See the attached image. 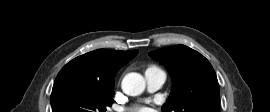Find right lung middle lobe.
I'll use <instances>...</instances> for the list:
<instances>
[{"label": "right lung middle lobe", "mask_w": 270, "mask_h": 112, "mask_svg": "<svg viewBox=\"0 0 270 112\" xmlns=\"http://www.w3.org/2000/svg\"><path fill=\"white\" fill-rule=\"evenodd\" d=\"M113 87L75 80L54 83L52 112H105L113 103Z\"/></svg>", "instance_id": "obj_1"}]
</instances>
